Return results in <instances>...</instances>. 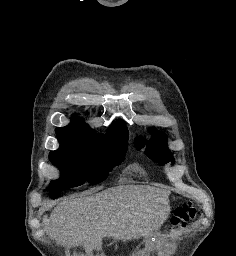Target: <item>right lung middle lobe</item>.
Masks as SVG:
<instances>
[{
  "mask_svg": "<svg viewBox=\"0 0 236 256\" xmlns=\"http://www.w3.org/2000/svg\"><path fill=\"white\" fill-rule=\"evenodd\" d=\"M60 147L49 154L50 161L62 175L51 183V197L61 190L97 184L105 180L109 170L119 165L127 150V142H108L71 134H57Z\"/></svg>",
  "mask_w": 236,
  "mask_h": 256,
  "instance_id": "obj_1",
  "label": "right lung middle lobe"
}]
</instances>
